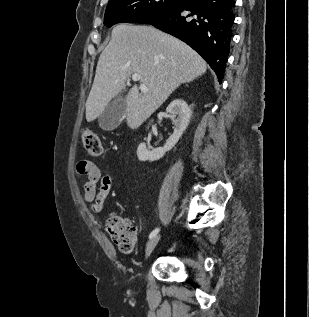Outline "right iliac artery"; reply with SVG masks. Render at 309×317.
Instances as JSON below:
<instances>
[{
    "label": "right iliac artery",
    "mask_w": 309,
    "mask_h": 317,
    "mask_svg": "<svg viewBox=\"0 0 309 317\" xmlns=\"http://www.w3.org/2000/svg\"><path fill=\"white\" fill-rule=\"evenodd\" d=\"M159 230H160V228L154 229V230L150 233L149 239H152L154 236H156V235L158 234Z\"/></svg>",
    "instance_id": "obj_1"
}]
</instances>
